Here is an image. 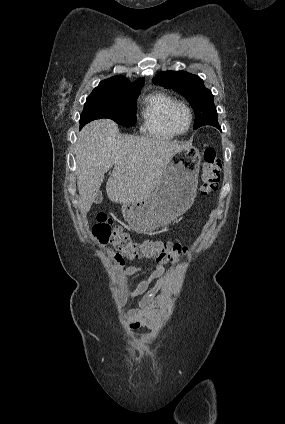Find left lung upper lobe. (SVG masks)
Here are the masks:
<instances>
[{
	"label": "left lung upper lobe",
	"mask_w": 285,
	"mask_h": 424,
	"mask_svg": "<svg viewBox=\"0 0 285 424\" xmlns=\"http://www.w3.org/2000/svg\"><path fill=\"white\" fill-rule=\"evenodd\" d=\"M153 82L172 88L189 101L195 113L194 129L203 125L220 128L213 95L199 76L184 71H167L159 73Z\"/></svg>",
	"instance_id": "5c2ea615"
}]
</instances>
